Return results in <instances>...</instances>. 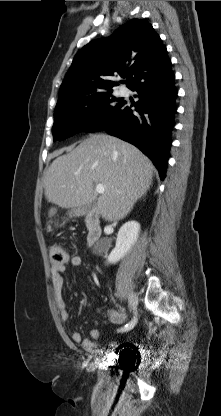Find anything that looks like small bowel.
<instances>
[{"label": "small bowel", "instance_id": "c3829d8e", "mask_svg": "<svg viewBox=\"0 0 221 416\" xmlns=\"http://www.w3.org/2000/svg\"><path fill=\"white\" fill-rule=\"evenodd\" d=\"M72 267H80L83 263V259L79 255L71 256L69 260ZM65 265H52L51 266V279L54 298L57 304V307L60 312V316L63 321L69 319V313L66 309V303L63 297V287H64V278L63 273L65 272ZM108 319L114 324H122L125 322L127 316L126 314L119 309H111L107 313ZM101 333L98 329H92L90 331L89 338H83L81 333L74 331L71 333V339L74 343L80 344L86 350H93L96 348V341L100 338Z\"/></svg>", "mask_w": 221, "mask_h": 416}]
</instances>
